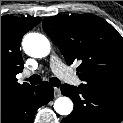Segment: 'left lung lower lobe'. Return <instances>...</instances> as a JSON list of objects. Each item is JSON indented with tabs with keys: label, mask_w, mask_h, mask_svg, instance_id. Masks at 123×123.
I'll return each instance as SVG.
<instances>
[{
	"label": "left lung lower lobe",
	"mask_w": 123,
	"mask_h": 123,
	"mask_svg": "<svg viewBox=\"0 0 123 123\" xmlns=\"http://www.w3.org/2000/svg\"><path fill=\"white\" fill-rule=\"evenodd\" d=\"M61 92L74 102V110L61 123H121L123 119V98L68 84L61 86Z\"/></svg>",
	"instance_id": "1"
}]
</instances>
